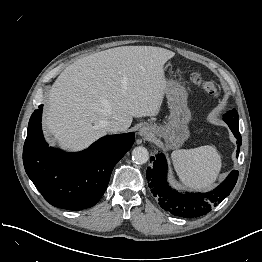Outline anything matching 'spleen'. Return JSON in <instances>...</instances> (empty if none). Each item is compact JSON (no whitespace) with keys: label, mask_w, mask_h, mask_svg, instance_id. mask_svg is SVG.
Returning a JSON list of instances; mask_svg holds the SVG:
<instances>
[{"label":"spleen","mask_w":262,"mask_h":262,"mask_svg":"<svg viewBox=\"0 0 262 262\" xmlns=\"http://www.w3.org/2000/svg\"><path fill=\"white\" fill-rule=\"evenodd\" d=\"M171 158L181 182L195 190L211 188L222 167L220 154L209 145L175 150Z\"/></svg>","instance_id":"3e777b00"}]
</instances>
